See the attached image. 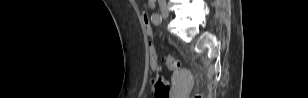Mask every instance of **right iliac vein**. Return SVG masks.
<instances>
[{
	"mask_svg": "<svg viewBox=\"0 0 308 98\" xmlns=\"http://www.w3.org/2000/svg\"><path fill=\"white\" fill-rule=\"evenodd\" d=\"M160 11H161V14L164 18H168L169 17V10L166 6H161L160 7Z\"/></svg>",
	"mask_w": 308,
	"mask_h": 98,
	"instance_id": "right-iliac-vein-1",
	"label": "right iliac vein"
}]
</instances>
